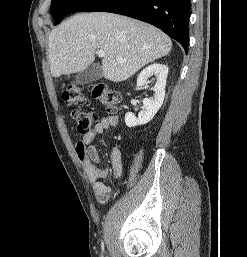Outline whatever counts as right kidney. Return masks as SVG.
Here are the masks:
<instances>
[{
	"mask_svg": "<svg viewBox=\"0 0 247 257\" xmlns=\"http://www.w3.org/2000/svg\"><path fill=\"white\" fill-rule=\"evenodd\" d=\"M167 74L168 67L159 63L149 65L140 72L137 77V88L144 86L149 77L155 76L156 82L153 88L155 94L153 99H144L143 110L139 113L138 118L132 112L126 113L125 123L128 127L144 125L153 119L164 101Z\"/></svg>",
	"mask_w": 247,
	"mask_h": 257,
	"instance_id": "1",
	"label": "right kidney"
}]
</instances>
